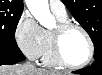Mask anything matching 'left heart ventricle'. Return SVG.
<instances>
[{
    "label": "left heart ventricle",
    "instance_id": "left-heart-ventricle-1",
    "mask_svg": "<svg viewBox=\"0 0 102 75\" xmlns=\"http://www.w3.org/2000/svg\"><path fill=\"white\" fill-rule=\"evenodd\" d=\"M62 51L70 62H78L88 56L89 46L84 34L78 29L70 30L62 38Z\"/></svg>",
    "mask_w": 102,
    "mask_h": 75
}]
</instances>
